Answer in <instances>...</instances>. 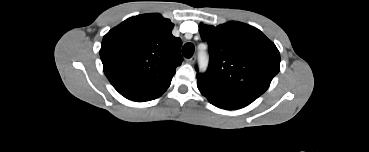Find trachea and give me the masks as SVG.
<instances>
[{
  "instance_id": "3493384b",
  "label": "trachea",
  "mask_w": 369,
  "mask_h": 152,
  "mask_svg": "<svg viewBox=\"0 0 369 152\" xmlns=\"http://www.w3.org/2000/svg\"><path fill=\"white\" fill-rule=\"evenodd\" d=\"M183 56L191 58L194 53V45L192 43H186L182 48Z\"/></svg>"
}]
</instances>
